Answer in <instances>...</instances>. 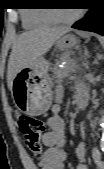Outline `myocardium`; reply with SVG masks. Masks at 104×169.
I'll return each mask as SVG.
<instances>
[{
  "mask_svg": "<svg viewBox=\"0 0 104 169\" xmlns=\"http://www.w3.org/2000/svg\"><path fill=\"white\" fill-rule=\"evenodd\" d=\"M82 10H78L77 12H75L72 16L69 17H61L57 11H50L49 12V16L53 19L54 22L56 23H73L74 21H76L78 18L81 17L82 15Z\"/></svg>",
  "mask_w": 104,
  "mask_h": 169,
  "instance_id": "1",
  "label": "myocardium"
}]
</instances>
